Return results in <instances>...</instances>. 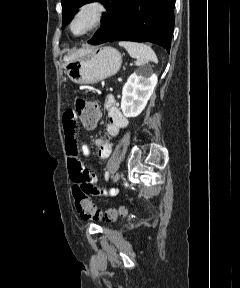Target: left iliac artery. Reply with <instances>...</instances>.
Segmentation results:
<instances>
[{
  "label": "left iliac artery",
  "instance_id": "obj_1",
  "mask_svg": "<svg viewBox=\"0 0 240 288\" xmlns=\"http://www.w3.org/2000/svg\"><path fill=\"white\" fill-rule=\"evenodd\" d=\"M108 178H109V172L106 171V173H105V179L108 180Z\"/></svg>",
  "mask_w": 240,
  "mask_h": 288
}]
</instances>
